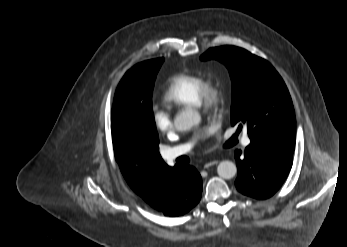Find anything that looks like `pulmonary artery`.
Instances as JSON below:
<instances>
[{
	"label": "pulmonary artery",
	"instance_id": "e3ab8cb5",
	"mask_svg": "<svg viewBox=\"0 0 347 247\" xmlns=\"http://www.w3.org/2000/svg\"><path fill=\"white\" fill-rule=\"evenodd\" d=\"M251 143V140L248 136H245L242 140L243 146H248ZM191 148L190 144L179 145L173 148H169L165 151L164 156L167 160L171 161L177 157L186 154Z\"/></svg>",
	"mask_w": 347,
	"mask_h": 247
}]
</instances>
